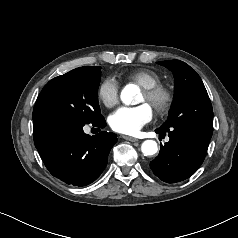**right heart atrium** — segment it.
I'll list each match as a JSON object with an SVG mask.
<instances>
[{
	"instance_id": "obj_1",
	"label": "right heart atrium",
	"mask_w": 238,
	"mask_h": 238,
	"mask_svg": "<svg viewBox=\"0 0 238 238\" xmlns=\"http://www.w3.org/2000/svg\"><path fill=\"white\" fill-rule=\"evenodd\" d=\"M97 95L106 107H113L119 100V84L115 78H105L99 85Z\"/></svg>"
}]
</instances>
